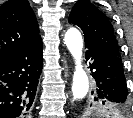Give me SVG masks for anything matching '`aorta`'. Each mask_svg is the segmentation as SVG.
<instances>
[{
	"instance_id": "aorta-1",
	"label": "aorta",
	"mask_w": 133,
	"mask_h": 118,
	"mask_svg": "<svg viewBox=\"0 0 133 118\" xmlns=\"http://www.w3.org/2000/svg\"><path fill=\"white\" fill-rule=\"evenodd\" d=\"M65 44L75 62L72 93L77 100L83 99L89 89V79L82 65L83 39L76 28H69L65 33Z\"/></svg>"
}]
</instances>
